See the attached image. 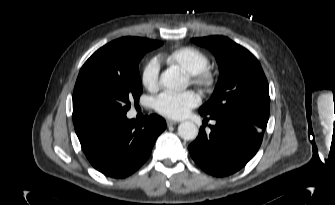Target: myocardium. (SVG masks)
<instances>
[{
    "mask_svg": "<svg viewBox=\"0 0 335 205\" xmlns=\"http://www.w3.org/2000/svg\"><path fill=\"white\" fill-rule=\"evenodd\" d=\"M191 81L193 84L209 90L216 83V73L210 68L206 67L197 73L191 74Z\"/></svg>",
    "mask_w": 335,
    "mask_h": 205,
    "instance_id": "f54148a6",
    "label": "myocardium"
}]
</instances>
